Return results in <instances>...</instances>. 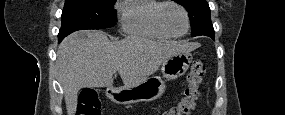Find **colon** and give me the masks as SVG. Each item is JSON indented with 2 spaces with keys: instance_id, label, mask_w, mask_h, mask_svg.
I'll return each instance as SVG.
<instances>
[{
  "instance_id": "colon-1",
  "label": "colon",
  "mask_w": 285,
  "mask_h": 115,
  "mask_svg": "<svg viewBox=\"0 0 285 115\" xmlns=\"http://www.w3.org/2000/svg\"><path fill=\"white\" fill-rule=\"evenodd\" d=\"M206 72V66L201 59L192 62L186 78V88L176 106L165 112V115H190L200 97V86ZM78 115H99L100 103L91 89L81 92L77 106Z\"/></svg>"
}]
</instances>
